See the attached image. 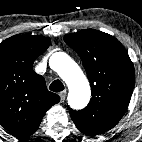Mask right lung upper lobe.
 Here are the masks:
<instances>
[{"label":"right lung upper lobe","mask_w":142,"mask_h":142,"mask_svg":"<svg viewBox=\"0 0 142 142\" xmlns=\"http://www.w3.org/2000/svg\"><path fill=\"white\" fill-rule=\"evenodd\" d=\"M50 42L42 36L15 35L0 43V124L18 138L36 132L46 111L60 100L33 70Z\"/></svg>","instance_id":"right-lung-upper-lobe-1"}]
</instances>
